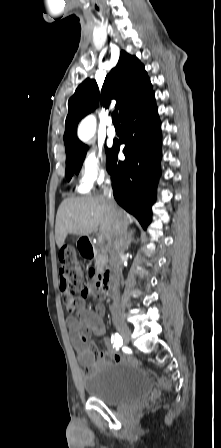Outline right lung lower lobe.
<instances>
[{
	"label": "right lung lower lobe",
	"mask_w": 221,
	"mask_h": 448,
	"mask_svg": "<svg viewBox=\"0 0 221 448\" xmlns=\"http://www.w3.org/2000/svg\"><path fill=\"white\" fill-rule=\"evenodd\" d=\"M120 120L123 127L120 143L125 144L126 159L118 161L119 144L113 145L107 158V170L112 175L117 203L146 229L151 222L161 159V123L154 92Z\"/></svg>",
	"instance_id": "obj_1"
}]
</instances>
